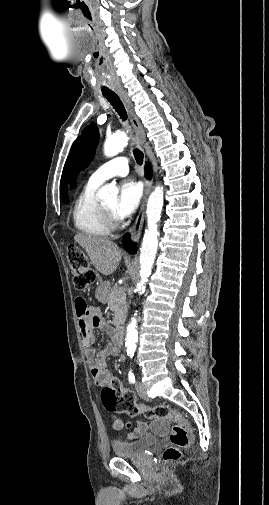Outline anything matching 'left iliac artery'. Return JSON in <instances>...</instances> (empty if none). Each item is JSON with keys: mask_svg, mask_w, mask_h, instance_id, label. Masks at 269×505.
Listing matches in <instances>:
<instances>
[{"mask_svg": "<svg viewBox=\"0 0 269 505\" xmlns=\"http://www.w3.org/2000/svg\"><path fill=\"white\" fill-rule=\"evenodd\" d=\"M130 357L131 358L133 357V353L130 354ZM128 379H129L130 383H135V376H134V373H133V371H132L131 368H130L129 373H128Z\"/></svg>", "mask_w": 269, "mask_h": 505, "instance_id": "left-iliac-artery-1", "label": "left iliac artery"}]
</instances>
